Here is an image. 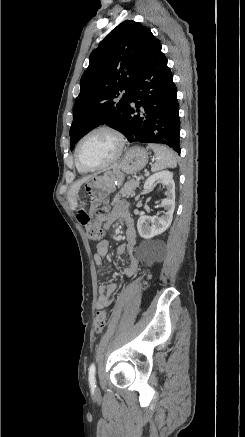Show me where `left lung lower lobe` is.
Instances as JSON below:
<instances>
[{
  "mask_svg": "<svg viewBox=\"0 0 245 437\" xmlns=\"http://www.w3.org/2000/svg\"><path fill=\"white\" fill-rule=\"evenodd\" d=\"M172 78L159 44L152 50L130 91L124 131L129 142L161 143L180 153L179 105ZM140 111L142 114H135Z\"/></svg>",
  "mask_w": 245,
  "mask_h": 437,
  "instance_id": "obj_1",
  "label": "left lung lower lobe"
}]
</instances>
